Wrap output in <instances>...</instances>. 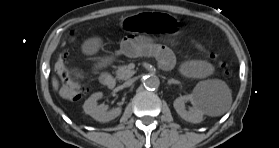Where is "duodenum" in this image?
Masks as SVG:
<instances>
[{
    "label": "duodenum",
    "mask_w": 279,
    "mask_h": 148,
    "mask_svg": "<svg viewBox=\"0 0 279 148\" xmlns=\"http://www.w3.org/2000/svg\"><path fill=\"white\" fill-rule=\"evenodd\" d=\"M103 77H106V76L103 75ZM105 83H106L108 89H110V90L113 89L115 87V85H116V81H115V79L113 77H107L105 79Z\"/></svg>",
    "instance_id": "obj_1"
}]
</instances>
